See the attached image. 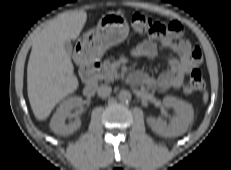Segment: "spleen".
I'll return each instance as SVG.
<instances>
[{"label":"spleen","mask_w":231,"mask_h":170,"mask_svg":"<svg viewBox=\"0 0 231 170\" xmlns=\"http://www.w3.org/2000/svg\"><path fill=\"white\" fill-rule=\"evenodd\" d=\"M208 101V92L205 91L204 94H203V102L206 104Z\"/></svg>","instance_id":"spleen-1"}]
</instances>
